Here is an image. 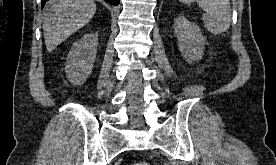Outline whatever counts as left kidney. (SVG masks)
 Listing matches in <instances>:
<instances>
[{"mask_svg":"<svg viewBox=\"0 0 276 165\" xmlns=\"http://www.w3.org/2000/svg\"><path fill=\"white\" fill-rule=\"evenodd\" d=\"M174 29L178 41L179 51L188 62L202 58L205 38L199 27L184 16L175 19Z\"/></svg>","mask_w":276,"mask_h":165,"instance_id":"left-kidney-1","label":"left kidney"}]
</instances>
